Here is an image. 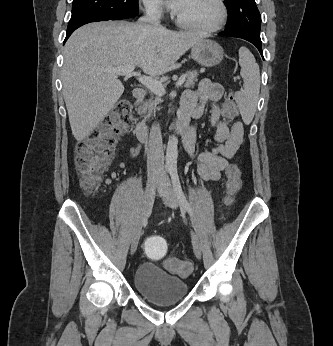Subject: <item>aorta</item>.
I'll return each mask as SVG.
<instances>
[{
	"label": "aorta",
	"mask_w": 333,
	"mask_h": 346,
	"mask_svg": "<svg viewBox=\"0 0 333 346\" xmlns=\"http://www.w3.org/2000/svg\"><path fill=\"white\" fill-rule=\"evenodd\" d=\"M178 157V139L172 135L169 137L166 149V167L168 169H175L177 166Z\"/></svg>",
	"instance_id": "aorta-1"
}]
</instances>
